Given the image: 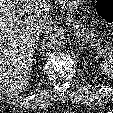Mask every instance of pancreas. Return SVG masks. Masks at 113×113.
Wrapping results in <instances>:
<instances>
[{"label":"pancreas","instance_id":"obj_1","mask_svg":"<svg viewBox=\"0 0 113 113\" xmlns=\"http://www.w3.org/2000/svg\"><path fill=\"white\" fill-rule=\"evenodd\" d=\"M68 20L71 24V26L74 28V30L77 32L81 38L88 43H93L95 39V35L90 31L89 28H86L83 24H81L78 20L74 19L72 16L68 17Z\"/></svg>","mask_w":113,"mask_h":113}]
</instances>
